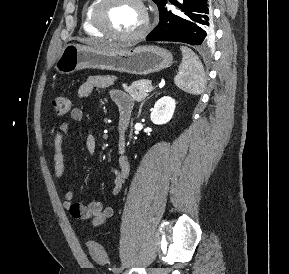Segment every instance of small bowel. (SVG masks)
<instances>
[{"mask_svg":"<svg viewBox=\"0 0 289 274\" xmlns=\"http://www.w3.org/2000/svg\"><path fill=\"white\" fill-rule=\"evenodd\" d=\"M114 84V79L109 76H91L85 80L78 88V97L81 99L87 98L96 89L111 88ZM110 95L116 104L119 115L122 112H127L131 115L133 109V101L126 93L112 89ZM71 119L74 121H81L84 117L83 110L80 108H73L70 113ZM69 129V123H63L57 130L54 137V154L53 165L56 178H61L65 172V156L63 153V144ZM85 147L89 154H94L97 150V140L93 134H88L85 140ZM118 149L121 154L119 158V166L111 169L114 175V186L112 194L118 196L124 188L125 181L130 172V165L125 155V137L119 134ZM63 206L67 209L73 217L82 220L90 221L93 228L101 226L106 220L114 215L112 206H105L101 202H90L83 204L73 200L74 195L71 190L63 192Z\"/></svg>","mask_w":289,"mask_h":274,"instance_id":"c3829d8e","label":"small bowel"}]
</instances>
